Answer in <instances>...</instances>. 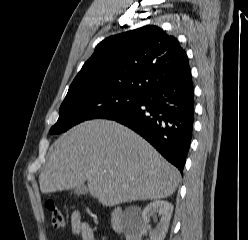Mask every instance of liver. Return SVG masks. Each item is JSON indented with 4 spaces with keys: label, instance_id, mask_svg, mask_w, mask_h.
Listing matches in <instances>:
<instances>
[{
    "label": "liver",
    "instance_id": "liver-1",
    "mask_svg": "<svg viewBox=\"0 0 248 240\" xmlns=\"http://www.w3.org/2000/svg\"><path fill=\"white\" fill-rule=\"evenodd\" d=\"M179 171L142 137L114 121L81 123L59 137L39 176L43 194L87 181L104 206L158 200L178 187Z\"/></svg>",
    "mask_w": 248,
    "mask_h": 240
}]
</instances>
